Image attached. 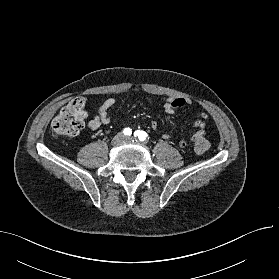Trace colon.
<instances>
[{
    "label": "colon",
    "instance_id": "colon-1",
    "mask_svg": "<svg viewBox=\"0 0 279 279\" xmlns=\"http://www.w3.org/2000/svg\"><path fill=\"white\" fill-rule=\"evenodd\" d=\"M85 102L82 98H75L65 106L51 123L52 134L56 138L73 137L84 126L86 117ZM194 148L197 153H204L210 148V143L204 137L195 140Z\"/></svg>",
    "mask_w": 279,
    "mask_h": 279
}]
</instances>
